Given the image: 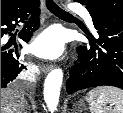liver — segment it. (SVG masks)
<instances>
[{"mask_svg": "<svg viewBox=\"0 0 123 113\" xmlns=\"http://www.w3.org/2000/svg\"><path fill=\"white\" fill-rule=\"evenodd\" d=\"M27 102L14 88L1 89V113H23Z\"/></svg>", "mask_w": 123, "mask_h": 113, "instance_id": "1", "label": "liver"}]
</instances>
